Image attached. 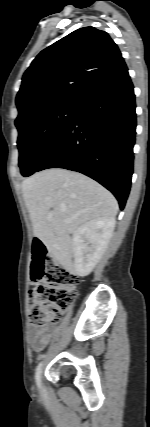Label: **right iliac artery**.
<instances>
[{
    "label": "right iliac artery",
    "instance_id": "82829eb1",
    "mask_svg": "<svg viewBox=\"0 0 150 427\" xmlns=\"http://www.w3.org/2000/svg\"><path fill=\"white\" fill-rule=\"evenodd\" d=\"M42 365L43 363L40 362L36 368V374H35V379L37 382V385L40 387V381H41V373H42Z\"/></svg>",
    "mask_w": 150,
    "mask_h": 427
}]
</instances>
